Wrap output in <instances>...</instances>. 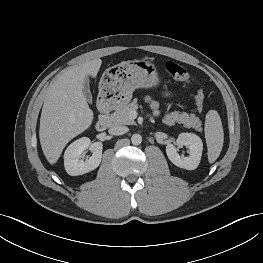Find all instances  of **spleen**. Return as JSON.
<instances>
[{
  "label": "spleen",
  "mask_w": 263,
  "mask_h": 263,
  "mask_svg": "<svg viewBox=\"0 0 263 263\" xmlns=\"http://www.w3.org/2000/svg\"><path fill=\"white\" fill-rule=\"evenodd\" d=\"M204 131L208 148V161L213 163L219 157L224 142L222 122L216 110H210L206 114Z\"/></svg>",
  "instance_id": "3e777b00"
}]
</instances>
